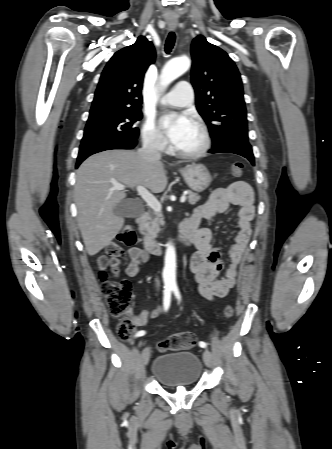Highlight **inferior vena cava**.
<instances>
[{
	"instance_id": "inferior-vena-cava-1",
	"label": "inferior vena cava",
	"mask_w": 332,
	"mask_h": 449,
	"mask_svg": "<svg viewBox=\"0 0 332 449\" xmlns=\"http://www.w3.org/2000/svg\"><path fill=\"white\" fill-rule=\"evenodd\" d=\"M138 155L147 161H160L161 152L154 140H145L142 148L138 150ZM156 286L159 287V281L156 280Z\"/></svg>"
}]
</instances>
